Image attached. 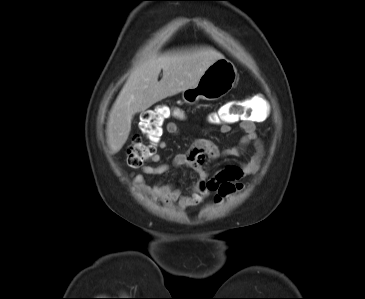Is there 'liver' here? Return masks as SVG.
Instances as JSON below:
<instances>
[{"label": "liver", "instance_id": "obj_1", "mask_svg": "<svg viewBox=\"0 0 365 299\" xmlns=\"http://www.w3.org/2000/svg\"><path fill=\"white\" fill-rule=\"evenodd\" d=\"M224 56L203 47L152 56L136 67L119 93L107 122V143L117 153L126 143L133 116L195 86L205 70ZM163 70V77L158 76Z\"/></svg>", "mask_w": 365, "mask_h": 299}]
</instances>
